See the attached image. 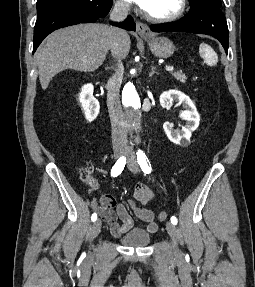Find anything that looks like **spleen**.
Masks as SVG:
<instances>
[{
	"mask_svg": "<svg viewBox=\"0 0 255 287\" xmlns=\"http://www.w3.org/2000/svg\"><path fill=\"white\" fill-rule=\"evenodd\" d=\"M200 54L205 60L207 66H216L218 62L217 54L212 50L211 46L207 44H200Z\"/></svg>",
	"mask_w": 255,
	"mask_h": 287,
	"instance_id": "spleen-1",
	"label": "spleen"
}]
</instances>
